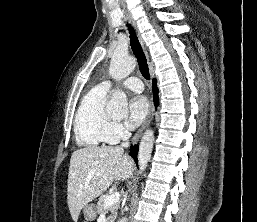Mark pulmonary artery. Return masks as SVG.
I'll return each mask as SVG.
<instances>
[{
    "instance_id": "1",
    "label": "pulmonary artery",
    "mask_w": 257,
    "mask_h": 222,
    "mask_svg": "<svg viewBox=\"0 0 257 222\" xmlns=\"http://www.w3.org/2000/svg\"><path fill=\"white\" fill-rule=\"evenodd\" d=\"M112 85L113 84L111 81H104L100 84V86L107 91L111 89ZM122 85L125 88H128L134 92H142L144 89V86H143V83L141 82V80H139L138 78H135V77H129V78L125 79L122 82Z\"/></svg>"
}]
</instances>
